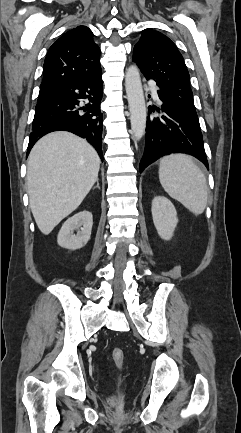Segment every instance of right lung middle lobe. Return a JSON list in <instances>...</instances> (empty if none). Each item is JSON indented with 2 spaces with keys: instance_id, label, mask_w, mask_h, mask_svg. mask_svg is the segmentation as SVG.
Instances as JSON below:
<instances>
[{
  "instance_id": "right-lung-middle-lobe-1",
  "label": "right lung middle lobe",
  "mask_w": 241,
  "mask_h": 433,
  "mask_svg": "<svg viewBox=\"0 0 241 433\" xmlns=\"http://www.w3.org/2000/svg\"><path fill=\"white\" fill-rule=\"evenodd\" d=\"M45 95L39 96L38 101L41 100Z\"/></svg>"
}]
</instances>
